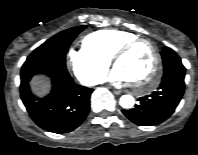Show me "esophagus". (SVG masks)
Instances as JSON below:
<instances>
[{"label": "esophagus", "mask_w": 198, "mask_h": 155, "mask_svg": "<svg viewBox=\"0 0 198 155\" xmlns=\"http://www.w3.org/2000/svg\"><path fill=\"white\" fill-rule=\"evenodd\" d=\"M122 92L120 90H114V94L120 95Z\"/></svg>", "instance_id": "1"}]
</instances>
